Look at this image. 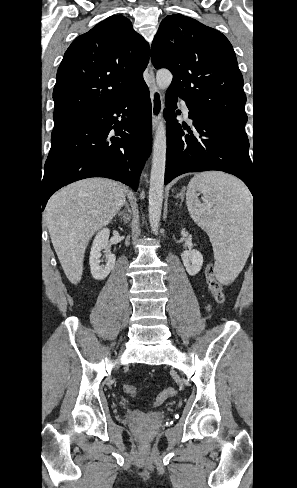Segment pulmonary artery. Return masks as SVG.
<instances>
[{"label":"pulmonary artery","instance_id":"obj_1","mask_svg":"<svg viewBox=\"0 0 297 488\" xmlns=\"http://www.w3.org/2000/svg\"><path fill=\"white\" fill-rule=\"evenodd\" d=\"M180 106H181V109L183 111V114L188 117L189 116V111H188V107L185 103V101H180Z\"/></svg>","mask_w":297,"mask_h":488}]
</instances>
